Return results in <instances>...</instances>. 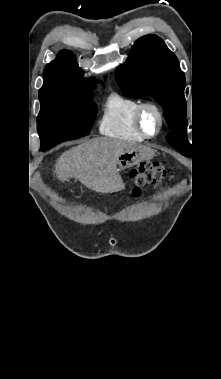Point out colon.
I'll return each instance as SVG.
<instances>
[{"label":"colon","mask_w":221,"mask_h":379,"mask_svg":"<svg viewBox=\"0 0 221 379\" xmlns=\"http://www.w3.org/2000/svg\"><path fill=\"white\" fill-rule=\"evenodd\" d=\"M169 176L168 171L159 162H144L130 171L133 181L132 194L138 197L145 185H156Z\"/></svg>","instance_id":"colon-1"}]
</instances>
